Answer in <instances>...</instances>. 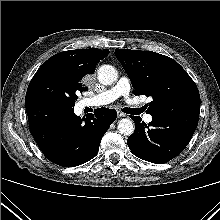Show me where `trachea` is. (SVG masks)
I'll return each instance as SVG.
<instances>
[{"label": "trachea", "instance_id": "obj_1", "mask_svg": "<svg viewBox=\"0 0 220 220\" xmlns=\"http://www.w3.org/2000/svg\"><path fill=\"white\" fill-rule=\"evenodd\" d=\"M123 111L127 114H133V115H136L139 113V110L135 108H124Z\"/></svg>", "mask_w": 220, "mask_h": 220}]
</instances>
